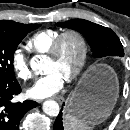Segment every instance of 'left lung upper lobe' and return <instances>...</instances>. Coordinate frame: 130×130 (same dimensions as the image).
<instances>
[{"label":"left lung upper lobe","mask_w":130,"mask_h":130,"mask_svg":"<svg viewBox=\"0 0 130 130\" xmlns=\"http://www.w3.org/2000/svg\"><path fill=\"white\" fill-rule=\"evenodd\" d=\"M57 25L80 32L87 39L95 58L124 56L123 46L110 28L83 19H73Z\"/></svg>","instance_id":"1"}]
</instances>
